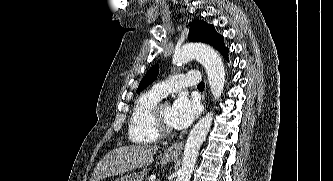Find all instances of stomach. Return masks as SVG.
Wrapping results in <instances>:
<instances>
[{
    "mask_svg": "<svg viewBox=\"0 0 333 181\" xmlns=\"http://www.w3.org/2000/svg\"><path fill=\"white\" fill-rule=\"evenodd\" d=\"M175 157H176V155L164 154L163 156H161L159 158V163L161 165H165V164L171 162L173 159H175ZM146 173H147V170H142L139 172H132L130 174L122 176L121 178H118L116 181H143Z\"/></svg>",
    "mask_w": 333,
    "mask_h": 181,
    "instance_id": "obj_1",
    "label": "stomach"
}]
</instances>
